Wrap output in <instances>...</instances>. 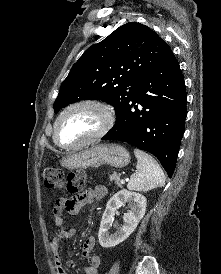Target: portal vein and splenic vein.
<instances>
[{"mask_svg":"<svg viewBox=\"0 0 221 274\" xmlns=\"http://www.w3.org/2000/svg\"><path fill=\"white\" fill-rule=\"evenodd\" d=\"M121 183H122V184H124V183H125V181H124V180H121Z\"/></svg>","mask_w":221,"mask_h":274,"instance_id":"18ae733b","label":"portal vein and splenic vein"}]
</instances>
